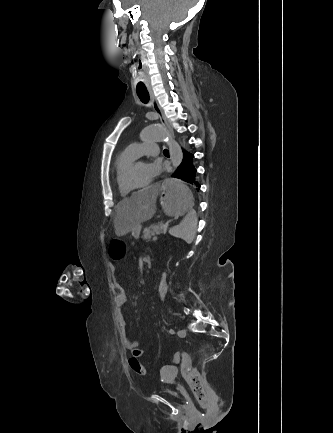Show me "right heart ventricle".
<instances>
[{"instance_id": "1", "label": "right heart ventricle", "mask_w": 333, "mask_h": 433, "mask_svg": "<svg viewBox=\"0 0 333 433\" xmlns=\"http://www.w3.org/2000/svg\"><path fill=\"white\" fill-rule=\"evenodd\" d=\"M137 157L126 148L122 151L116 158L115 161V172H114V181L116 188L122 197H126L129 194V191L122 186L121 178L126 167L133 162Z\"/></svg>"}]
</instances>
